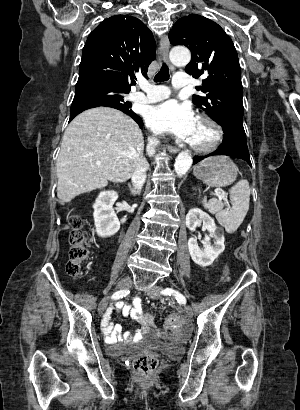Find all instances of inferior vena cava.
<instances>
[{
    "mask_svg": "<svg viewBox=\"0 0 300 410\" xmlns=\"http://www.w3.org/2000/svg\"><path fill=\"white\" fill-rule=\"evenodd\" d=\"M158 144V140L156 138H150L148 141V151L153 152L155 146ZM148 166H139L136 168L135 172L132 175V183L135 186L137 191L141 190L143 184L146 180V170Z\"/></svg>",
    "mask_w": 300,
    "mask_h": 410,
    "instance_id": "obj_1",
    "label": "inferior vena cava"
}]
</instances>
